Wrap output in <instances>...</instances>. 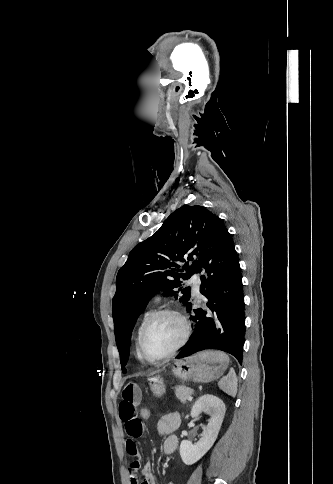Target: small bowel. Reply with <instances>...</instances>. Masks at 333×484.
<instances>
[{"mask_svg":"<svg viewBox=\"0 0 333 484\" xmlns=\"http://www.w3.org/2000/svg\"><path fill=\"white\" fill-rule=\"evenodd\" d=\"M142 399L140 387L137 384L129 383L122 391V398L119 403L118 412L121 421L125 425L128 438L125 442L128 454L136 458L129 464V475L131 484H156L150 463H146L140 468L136 440L144 433V426L137 414V407ZM180 425V416L178 413H168L163 415L158 423L157 430L165 436L163 442V451L170 455L173 454L178 446V439L174 432ZM168 484H174L169 482Z\"/></svg>","mask_w":333,"mask_h":484,"instance_id":"1","label":"small bowel"}]
</instances>
